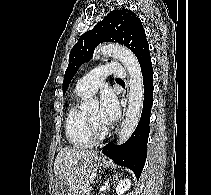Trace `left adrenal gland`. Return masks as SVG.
<instances>
[{"label": "left adrenal gland", "mask_w": 211, "mask_h": 195, "mask_svg": "<svg viewBox=\"0 0 211 195\" xmlns=\"http://www.w3.org/2000/svg\"><path fill=\"white\" fill-rule=\"evenodd\" d=\"M113 179H114L113 183H115V181L118 180V174L113 175ZM110 187H111L110 178H108L104 183V190L108 191L110 190Z\"/></svg>", "instance_id": "1"}]
</instances>
